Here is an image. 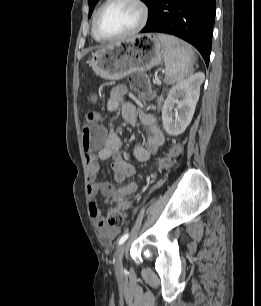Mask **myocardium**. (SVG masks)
<instances>
[{
	"mask_svg": "<svg viewBox=\"0 0 261 306\" xmlns=\"http://www.w3.org/2000/svg\"><path fill=\"white\" fill-rule=\"evenodd\" d=\"M121 0H106L97 10V12L95 13L94 19H93V34L94 36L100 40V41H107V42H112V41H118V40H122V39H126L128 37H131L135 34H137L138 32H140L144 26L147 23L148 20V15H149V11H148V7L146 5V3L143 0H124L130 3L135 4L140 11V20L137 23V25L129 32L125 33V34H121V35H116V36H107L101 33L100 29H99V20L100 17L103 13V11L112 3L118 2Z\"/></svg>",
	"mask_w": 261,
	"mask_h": 306,
	"instance_id": "obj_1",
	"label": "myocardium"
}]
</instances>
